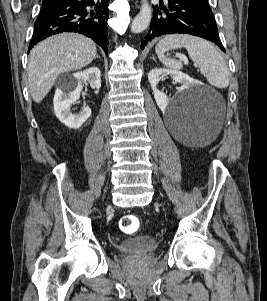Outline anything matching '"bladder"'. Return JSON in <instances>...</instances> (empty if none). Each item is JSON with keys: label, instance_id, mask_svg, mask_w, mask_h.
I'll list each match as a JSON object with an SVG mask.
<instances>
[{"label": "bladder", "instance_id": "1", "mask_svg": "<svg viewBox=\"0 0 267 301\" xmlns=\"http://www.w3.org/2000/svg\"><path fill=\"white\" fill-rule=\"evenodd\" d=\"M158 247L157 240L150 235L141 234L121 241L117 249L125 254H148Z\"/></svg>", "mask_w": 267, "mask_h": 301}]
</instances>
